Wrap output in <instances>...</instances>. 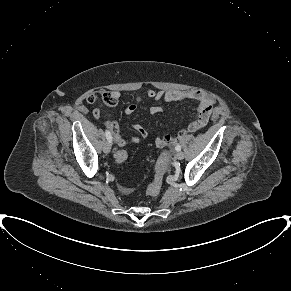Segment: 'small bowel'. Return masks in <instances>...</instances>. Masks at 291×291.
Wrapping results in <instances>:
<instances>
[{
    "instance_id": "obj_1",
    "label": "small bowel",
    "mask_w": 291,
    "mask_h": 291,
    "mask_svg": "<svg viewBox=\"0 0 291 291\" xmlns=\"http://www.w3.org/2000/svg\"><path fill=\"white\" fill-rule=\"evenodd\" d=\"M115 96L118 98L119 94L117 92H114ZM147 97L159 101L163 100L165 102H183V101H195L196 106H195V116L193 120L189 123L186 129L183 131L179 132L176 137H171L170 135L163 134L159 136L156 139V144L157 146L161 148H167V147H172L175 146L185 135L187 132H196L203 128L207 122L208 118L210 116L212 107L214 105V100L205 92L198 91V90H186V91H178V90H153L149 89L146 92ZM87 102L89 104H93L96 100L97 97L94 94H91L87 97ZM141 101V95H137L133 101V103L129 104L125 108V114L129 115L135 112L137 109V103ZM150 113L151 114H159L163 112V107L159 105H154L150 107ZM93 116L95 118H98L100 116V111L98 108H95L93 110ZM107 127L111 131L115 143L119 147H124L127 144L130 143H138L140 141V138L138 137H133L131 139H124L121 137L119 133V125L118 122L113 120V119H108L106 123ZM135 130L138 132V134L142 137L145 138L147 136V132L145 129L137 124L134 126ZM121 191L124 194H129L132 190L129 187L121 186Z\"/></svg>"
}]
</instances>
